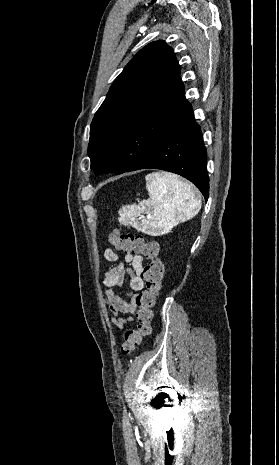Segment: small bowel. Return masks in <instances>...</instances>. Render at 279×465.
Wrapping results in <instances>:
<instances>
[{
	"label": "small bowel",
	"mask_w": 279,
	"mask_h": 465,
	"mask_svg": "<svg viewBox=\"0 0 279 465\" xmlns=\"http://www.w3.org/2000/svg\"><path fill=\"white\" fill-rule=\"evenodd\" d=\"M104 259L116 263L105 273L103 285L105 287V302L113 313L110 322L122 329L128 323L133 322L134 318L132 316L123 318L121 314L135 313L137 308L135 297L144 288L143 258L139 254L127 252L121 261L119 254L114 249L107 248L104 251ZM126 264H129L130 268H126ZM125 278L128 279L129 290L126 292V296L130 298L129 301L123 299L117 292V289L124 284Z\"/></svg>",
	"instance_id": "small-bowel-1"
}]
</instances>
